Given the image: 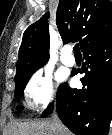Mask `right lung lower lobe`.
Listing matches in <instances>:
<instances>
[{"label":"right lung lower lobe","mask_w":112,"mask_h":135,"mask_svg":"<svg viewBox=\"0 0 112 135\" xmlns=\"http://www.w3.org/2000/svg\"><path fill=\"white\" fill-rule=\"evenodd\" d=\"M83 88L62 84L56 95L61 121L76 135H107L112 119V37L82 50ZM73 75V74H72ZM53 103L42 113L48 116Z\"/></svg>","instance_id":"98d812e1"}]
</instances>
